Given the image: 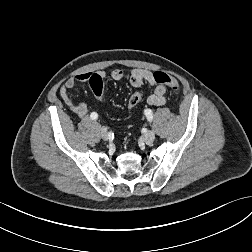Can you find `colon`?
Listing matches in <instances>:
<instances>
[{"instance_id":"colon-1","label":"colon","mask_w":252,"mask_h":252,"mask_svg":"<svg viewBox=\"0 0 252 252\" xmlns=\"http://www.w3.org/2000/svg\"><path fill=\"white\" fill-rule=\"evenodd\" d=\"M154 80L158 84H162L172 90H177L179 88L178 81L164 73V72H155ZM88 84L95 96L101 100H105L106 97V88L103 78L99 74H93L88 79ZM143 99V94L139 91L134 92L127 101V108L133 109L138 106Z\"/></svg>"}]
</instances>
